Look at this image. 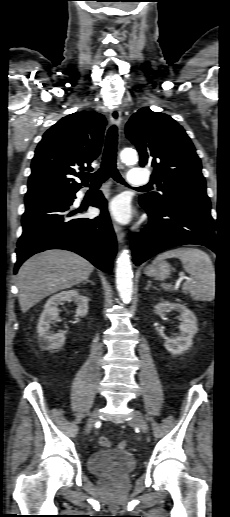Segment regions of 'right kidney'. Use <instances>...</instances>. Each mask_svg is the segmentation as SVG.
<instances>
[{"instance_id":"right-kidney-1","label":"right kidney","mask_w":230,"mask_h":517,"mask_svg":"<svg viewBox=\"0 0 230 517\" xmlns=\"http://www.w3.org/2000/svg\"><path fill=\"white\" fill-rule=\"evenodd\" d=\"M66 301H74V303L77 305V316L84 317L88 313V298L84 295H81L78 290L73 289L62 291L48 299L37 325V332L39 337L38 342L39 345L45 350L59 349L65 343L66 331H61L55 334L50 330V325L54 323V321L59 320L58 307L63 305Z\"/></svg>"}]
</instances>
